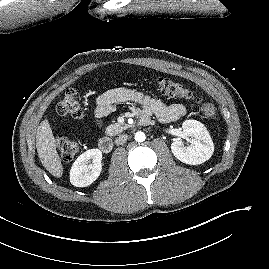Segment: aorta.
<instances>
[{
    "label": "aorta",
    "instance_id": "1",
    "mask_svg": "<svg viewBox=\"0 0 269 269\" xmlns=\"http://www.w3.org/2000/svg\"><path fill=\"white\" fill-rule=\"evenodd\" d=\"M146 139V136L143 132L139 131V132H136L135 134V140L137 142H144Z\"/></svg>",
    "mask_w": 269,
    "mask_h": 269
}]
</instances>
